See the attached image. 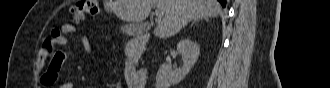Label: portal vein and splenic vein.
I'll return each mask as SVG.
<instances>
[{
  "instance_id": "18ae733b",
  "label": "portal vein and splenic vein",
  "mask_w": 330,
  "mask_h": 88,
  "mask_svg": "<svg viewBox=\"0 0 330 88\" xmlns=\"http://www.w3.org/2000/svg\"><path fill=\"white\" fill-rule=\"evenodd\" d=\"M155 15H156V19H157V21L160 22V21H161V18H162L163 15H164V12L161 11V10H156V11H155Z\"/></svg>"
}]
</instances>
